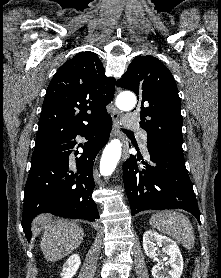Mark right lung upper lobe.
Segmentation results:
<instances>
[{"instance_id":"1","label":"right lung upper lobe","mask_w":221,"mask_h":278,"mask_svg":"<svg viewBox=\"0 0 221 278\" xmlns=\"http://www.w3.org/2000/svg\"><path fill=\"white\" fill-rule=\"evenodd\" d=\"M115 78L107 77L93 52L65 62L53 76L43 102L35 148L47 146L110 116Z\"/></svg>"}]
</instances>
